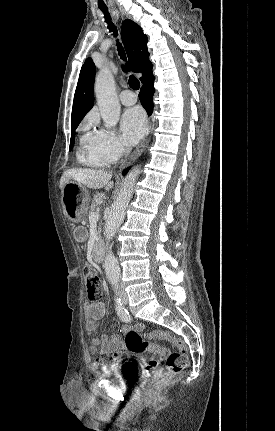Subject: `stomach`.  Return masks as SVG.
Returning a JSON list of instances; mask_svg holds the SVG:
<instances>
[{
    "instance_id": "0dacf381",
    "label": "stomach",
    "mask_w": 275,
    "mask_h": 431,
    "mask_svg": "<svg viewBox=\"0 0 275 431\" xmlns=\"http://www.w3.org/2000/svg\"><path fill=\"white\" fill-rule=\"evenodd\" d=\"M62 202L68 219L79 223L89 208V192L80 183L69 181L63 187Z\"/></svg>"
}]
</instances>
